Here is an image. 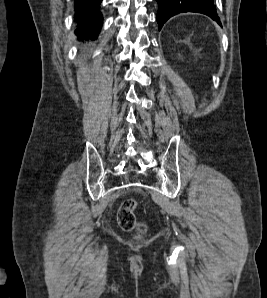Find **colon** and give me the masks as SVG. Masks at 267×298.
Here are the masks:
<instances>
[{
  "instance_id": "5ec220e1",
  "label": "colon",
  "mask_w": 267,
  "mask_h": 298,
  "mask_svg": "<svg viewBox=\"0 0 267 298\" xmlns=\"http://www.w3.org/2000/svg\"><path fill=\"white\" fill-rule=\"evenodd\" d=\"M137 207L138 203L135 199H128L120 206L117 221L123 231L141 233L145 231V225L136 218L135 211Z\"/></svg>"
}]
</instances>
